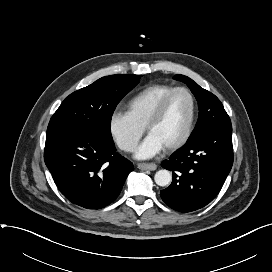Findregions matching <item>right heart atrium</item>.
Instances as JSON below:
<instances>
[{
  "label": "right heart atrium",
  "mask_w": 272,
  "mask_h": 272,
  "mask_svg": "<svg viewBox=\"0 0 272 272\" xmlns=\"http://www.w3.org/2000/svg\"><path fill=\"white\" fill-rule=\"evenodd\" d=\"M109 133L124 152H131L143 135L144 127L138 125L127 112L115 110L108 122Z\"/></svg>",
  "instance_id": "right-heart-atrium-1"
}]
</instances>
